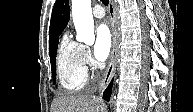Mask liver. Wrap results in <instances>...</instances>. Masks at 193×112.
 Returning <instances> with one entry per match:
<instances>
[{"instance_id": "liver-1", "label": "liver", "mask_w": 193, "mask_h": 112, "mask_svg": "<svg viewBox=\"0 0 193 112\" xmlns=\"http://www.w3.org/2000/svg\"><path fill=\"white\" fill-rule=\"evenodd\" d=\"M103 102L94 95L63 96L57 98L52 112H102Z\"/></svg>"}]
</instances>
